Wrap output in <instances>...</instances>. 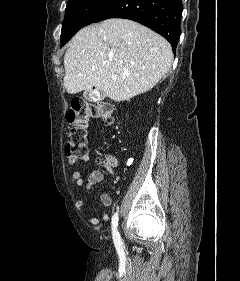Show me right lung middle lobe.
Wrapping results in <instances>:
<instances>
[{
  "instance_id": "obj_1",
  "label": "right lung middle lobe",
  "mask_w": 240,
  "mask_h": 281,
  "mask_svg": "<svg viewBox=\"0 0 240 281\" xmlns=\"http://www.w3.org/2000/svg\"><path fill=\"white\" fill-rule=\"evenodd\" d=\"M116 0H68L61 31L64 45L82 27L93 23Z\"/></svg>"
}]
</instances>
